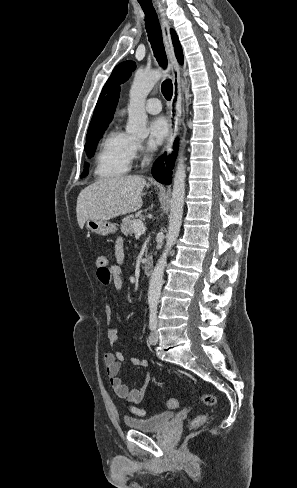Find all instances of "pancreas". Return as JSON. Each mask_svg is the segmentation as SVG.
<instances>
[{"label":"pancreas","mask_w":297,"mask_h":488,"mask_svg":"<svg viewBox=\"0 0 297 488\" xmlns=\"http://www.w3.org/2000/svg\"><path fill=\"white\" fill-rule=\"evenodd\" d=\"M137 221L135 218H132L131 216H126L122 220L121 224V231L125 236L132 235L135 231L133 228V223Z\"/></svg>","instance_id":"cf45deb5"}]
</instances>
